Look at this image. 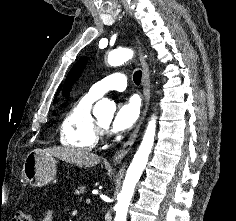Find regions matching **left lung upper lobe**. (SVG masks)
Wrapping results in <instances>:
<instances>
[{
    "label": "left lung upper lobe",
    "instance_id": "1",
    "mask_svg": "<svg viewBox=\"0 0 236 221\" xmlns=\"http://www.w3.org/2000/svg\"><path fill=\"white\" fill-rule=\"evenodd\" d=\"M87 63V58L83 57L81 58L70 70V72L67 75L65 86L63 89V95L65 97H68L71 87L74 84V82L77 80V78L80 76L82 71L84 70Z\"/></svg>",
    "mask_w": 236,
    "mask_h": 221
}]
</instances>
